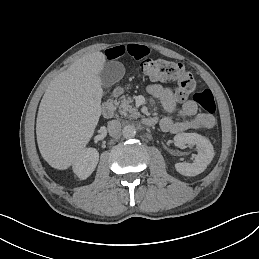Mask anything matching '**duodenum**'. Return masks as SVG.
<instances>
[{
    "instance_id": "1",
    "label": "duodenum",
    "mask_w": 259,
    "mask_h": 259,
    "mask_svg": "<svg viewBox=\"0 0 259 259\" xmlns=\"http://www.w3.org/2000/svg\"><path fill=\"white\" fill-rule=\"evenodd\" d=\"M121 90L119 88L114 90L113 97H117L120 94ZM101 111L104 117L110 118L114 113V103L112 99L106 100L103 102ZM143 124L147 126H152L157 123V120L154 117H145L142 120Z\"/></svg>"
}]
</instances>
